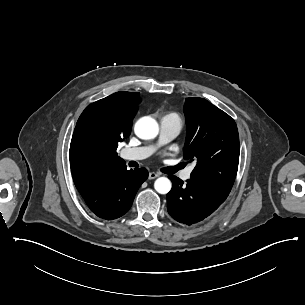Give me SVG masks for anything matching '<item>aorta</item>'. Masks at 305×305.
Returning a JSON list of instances; mask_svg holds the SVG:
<instances>
[{
	"mask_svg": "<svg viewBox=\"0 0 305 305\" xmlns=\"http://www.w3.org/2000/svg\"><path fill=\"white\" fill-rule=\"evenodd\" d=\"M134 132L140 139H153L158 135L159 126L156 120L146 116L136 122ZM171 187V181L166 177H160L154 183L155 190L160 194H167L171 190Z\"/></svg>",
	"mask_w": 305,
	"mask_h": 305,
	"instance_id": "1",
	"label": "aorta"
}]
</instances>
